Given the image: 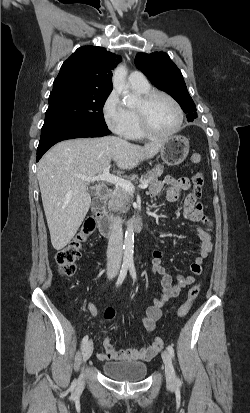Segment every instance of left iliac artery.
<instances>
[{
	"label": "left iliac artery",
	"instance_id": "44dca946",
	"mask_svg": "<svg viewBox=\"0 0 250 413\" xmlns=\"http://www.w3.org/2000/svg\"><path fill=\"white\" fill-rule=\"evenodd\" d=\"M129 270H130V274H131L132 278H133L134 280H136L137 277H136V271H135V266H134V264H130V265H129ZM167 350H168V352L170 353V355H171L172 357H174V349H173V347H172L171 345H169V346L167 347ZM177 382H179V379H177Z\"/></svg>",
	"mask_w": 250,
	"mask_h": 413
}]
</instances>
